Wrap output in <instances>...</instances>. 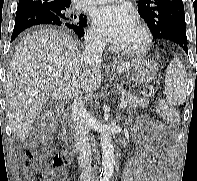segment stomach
Masks as SVG:
<instances>
[{
	"instance_id": "obj_1",
	"label": "stomach",
	"mask_w": 197,
	"mask_h": 181,
	"mask_svg": "<svg viewBox=\"0 0 197 181\" xmlns=\"http://www.w3.org/2000/svg\"><path fill=\"white\" fill-rule=\"evenodd\" d=\"M125 72L127 77L138 87L151 83L158 71L157 64L149 59H134ZM116 73V70H113Z\"/></svg>"
}]
</instances>
